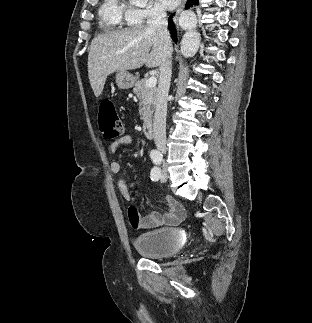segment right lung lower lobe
<instances>
[{
    "label": "right lung lower lobe",
    "instance_id": "obj_1",
    "mask_svg": "<svg viewBox=\"0 0 312 323\" xmlns=\"http://www.w3.org/2000/svg\"><path fill=\"white\" fill-rule=\"evenodd\" d=\"M199 0H188L185 8L188 9L193 5H197ZM172 17L173 15H171L168 19V28L170 29V33L172 35V38L174 41H177V37H176V30H175V26L174 23L172 22Z\"/></svg>",
    "mask_w": 312,
    "mask_h": 323
}]
</instances>
